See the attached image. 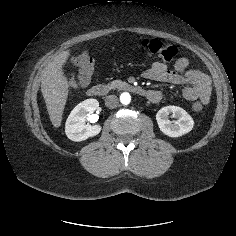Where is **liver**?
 Wrapping results in <instances>:
<instances>
[{
	"label": "liver",
	"instance_id": "obj_1",
	"mask_svg": "<svg viewBox=\"0 0 236 236\" xmlns=\"http://www.w3.org/2000/svg\"><path fill=\"white\" fill-rule=\"evenodd\" d=\"M69 56L70 50L62 51L55 56L45 68L41 81V91L50 121L55 128L61 125L69 93V83L63 69Z\"/></svg>",
	"mask_w": 236,
	"mask_h": 236
}]
</instances>
